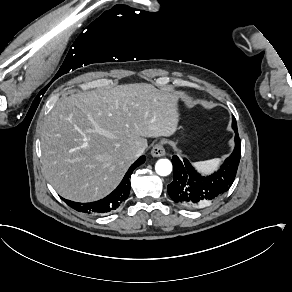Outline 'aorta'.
<instances>
[{"instance_id":"1","label":"aorta","mask_w":292,"mask_h":292,"mask_svg":"<svg viewBox=\"0 0 292 292\" xmlns=\"http://www.w3.org/2000/svg\"><path fill=\"white\" fill-rule=\"evenodd\" d=\"M155 170L160 176H168L172 172V164L167 159H161L156 163Z\"/></svg>"}]
</instances>
